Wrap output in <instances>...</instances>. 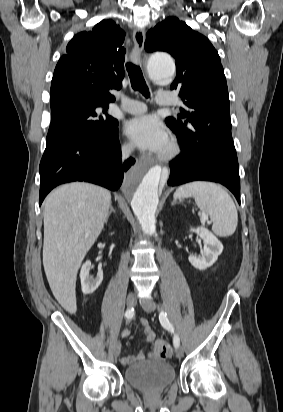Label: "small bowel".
<instances>
[{"label": "small bowel", "instance_id": "small-bowel-1", "mask_svg": "<svg viewBox=\"0 0 283 412\" xmlns=\"http://www.w3.org/2000/svg\"><path fill=\"white\" fill-rule=\"evenodd\" d=\"M139 323L143 328L146 341L149 343L153 342L155 335H154V332L151 330L147 319L141 318ZM128 334H129V331L124 332L125 336H127ZM145 359H146V354L143 351H139L135 355H127V356L122 357L121 362L125 365H130L136 362L144 361Z\"/></svg>", "mask_w": 283, "mask_h": 412}]
</instances>
